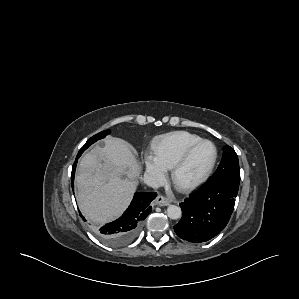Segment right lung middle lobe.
Wrapping results in <instances>:
<instances>
[{
    "label": "right lung middle lobe",
    "mask_w": 299,
    "mask_h": 299,
    "mask_svg": "<svg viewBox=\"0 0 299 299\" xmlns=\"http://www.w3.org/2000/svg\"><path fill=\"white\" fill-rule=\"evenodd\" d=\"M110 134V130H105L102 131L96 135H94L93 137H91L86 143L85 145L81 148V152H83L85 149H87L91 144H93L94 142H96L99 139L104 138L106 135Z\"/></svg>",
    "instance_id": "obj_1"
}]
</instances>
